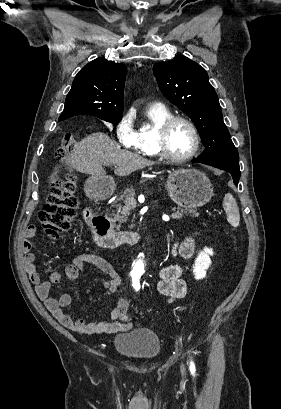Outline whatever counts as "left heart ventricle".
<instances>
[{"mask_svg":"<svg viewBox=\"0 0 281 409\" xmlns=\"http://www.w3.org/2000/svg\"><path fill=\"white\" fill-rule=\"evenodd\" d=\"M194 147V137L182 122L175 123L167 136V148L174 156H184Z\"/></svg>","mask_w":281,"mask_h":409,"instance_id":"obj_1","label":"left heart ventricle"}]
</instances>
